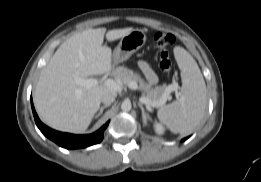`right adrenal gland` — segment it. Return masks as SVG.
Segmentation results:
<instances>
[{"label": "right adrenal gland", "mask_w": 261, "mask_h": 182, "mask_svg": "<svg viewBox=\"0 0 261 182\" xmlns=\"http://www.w3.org/2000/svg\"><path fill=\"white\" fill-rule=\"evenodd\" d=\"M109 105H103L99 108V111H98V114L95 116V118H98L102 113H103V110L105 108H107Z\"/></svg>", "instance_id": "2a0ac1e0"}]
</instances>
